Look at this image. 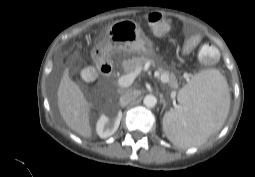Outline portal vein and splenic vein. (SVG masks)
Returning <instances> with one entry per match:
<instances>
[{"mask_svg":"<svg viewBox=\"0 0 255 177\" xmlns=\"http://www.w3.org/2000/svg\"><path fill=\"white\" fill-rule=\"evenodd\" d=\"M140 72H141V69H137L136 71L132 73L121 76L118 79V85L120 87L130 86L134 82L135 78L140 74Z\"/></svg>","mask_w":255,"mask_h":177,"instance_id":"1","label":"portal vein and splenic vein"}]
</instances>
